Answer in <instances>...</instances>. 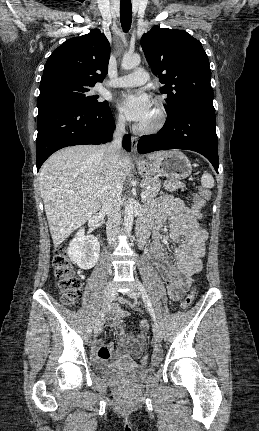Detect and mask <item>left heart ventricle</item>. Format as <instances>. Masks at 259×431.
<instances>
[{
    "mask_svg": "<svg viewBox=\"0 0 259 431\" xmlns=\"http://www.w3.org/2000/svg\"><path fill=\"white\" fill-rule=\"evenodd\" d=\"M155 119H156L155 111H154V108H152L150 116L140 125H143V126L151 125L152 123H154Z\"/></svg>",
    "mask_w": 259,
    "mask_h": 431,
    "instance_id": "1",
    "label": "left heart ventricle"
}]
</instances>
